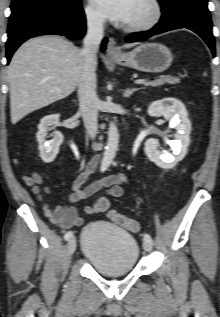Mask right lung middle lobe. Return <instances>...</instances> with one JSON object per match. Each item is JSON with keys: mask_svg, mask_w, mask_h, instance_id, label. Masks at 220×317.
<instances>
[{"mask_svg": "<svg viewBox=\"0 0 220 317\" xmlns=\"http://www.w3.org/2000/svg\"><path fill=\"white\" fill-rule=\"evenodd\" d=\"M30 8H53L76 11L81 8V0H12V14Z\"/></svg>", "mask_w": 220, "mask_h": 317, "instance_id": "right-lung-middle-lobe-1", "label": "right lung middle lobe"}]
</instances>
